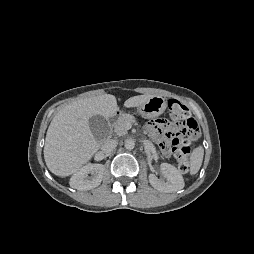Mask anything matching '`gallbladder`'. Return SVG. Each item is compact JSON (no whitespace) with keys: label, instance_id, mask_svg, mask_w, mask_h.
Returning <instances> with one entry per match:
<instances>
[{"label":"gallbladder","instance_id":"gallbladder-1","mask_svg":"<svg viewBox=\"0 0 254 254\" xmlns=\"http://www.w3.org/2000/svg\"><path fill=\"white\" fill-rule=\"evenodd\" d=\"M89 127L97 141L105 139L109 131L106 118L100 115H94L89 119Z\"/></svg>","mask_w":254,"mask_h":254}]
</instances>
